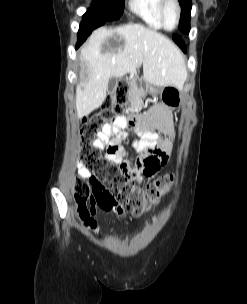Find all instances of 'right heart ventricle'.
I'll return each instance as SVG.
<instances>
[{"instance_id":"right-heart-ventricle-1","label":"right heart ventricle","mask_w":247,"mask_h":304,"mask_svg":"<svg viewBox=\"0 0 247 304\" xmlns=\"http://www.w3.org/2000/svg\"><path fill=\"white\" fill-rule=\"evenodd\" d=\"M161 0H130V9L145 24L154 29H163L159 16Z\"/></svg>"}]
</instances>
